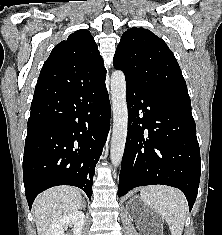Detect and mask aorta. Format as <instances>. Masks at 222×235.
I'll return each mask as SVG.
<instances>
[{
    "label": "aorta",
    "instance_id": "1",
    "mask_svg": "<svg viewBox=\"0 0 222 235\" xmlns=\"http://www.w3.org/2000/svg\"><path fill=\"white\" fill-rule=\"evenodd\" d=\"M111 95L113 108V131L111 138L110 159L117 167L121 163L127 131L128 109L126 102V81L122 71L116 70L111 75Z\"/></svg>",
    "mask_w": 222,
    "mask_h": 235
}]
</instances>
